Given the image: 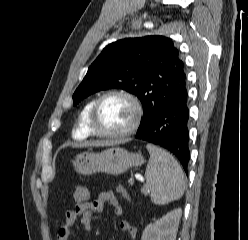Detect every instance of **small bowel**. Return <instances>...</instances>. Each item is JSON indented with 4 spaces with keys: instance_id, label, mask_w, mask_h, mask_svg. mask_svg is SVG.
I'll use <instances>...</instances> for the list:
<instances>
[{
    "instance_id": "small-bowel-1",
    "label": "small bowel",
    "mask_w": 248,
    "mask_h": 240,
    "mask_svg": "<svg viewBox=\"0 0 248 240\" xmlns=\"http://www.w3.org/2000/svg\"><path fill=\"white\" fill-rule=\"evenodd\" d=\"M105 203L114 207L115 215L122 218L124 210L118 203L115 194L112 191L100 192L96 200L76 205L73 209L68 210L65 216V221L58 228L57 240H67L70 230L78 218L81 219L83 232L88 233L91 230L92 222L97 218V214L101 211ZM120 229L131 238H135L137 234L136 227L128 220L123 219L120 222ZM76 240H82L78 237Z\"/></svg>"
}]
</instances>
